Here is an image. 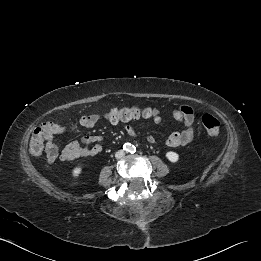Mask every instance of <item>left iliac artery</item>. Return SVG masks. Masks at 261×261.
<instances>
[{
    "mask_svg": "<svg viewBox=\"0 0 261 261\" xmlns=\"http://www.w3.org/2000/svg\"><path fill=\"white\" fill-rule=\"evenodd\" d=\"M132 151L135 152V151H136V148H132Z\"/></svg>",
    "mask_w": 261,
    "mask_h": 261,
    "instance_id": "obj_1",
    "label": "left iliac artery"
}]
</instances>
